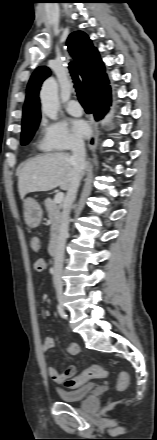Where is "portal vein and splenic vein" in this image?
<instances>
[{"label":"portal vein and splenic vein","mask_w":157,"mask_h":440,"mask_svg":"<svg viewBox=\"0 0 157 440\" xmlns=\"http://www.w3.org/2000/svg\"><path fill=\"white\" fill-rule=\"evenodd\" d=\"M63 199H64V193L63 192H59V193H57L55 195L54 202L56 204H59V203H61L63 201Z\"/></svg>","instance_id":"obj_1"}]
</instances>
